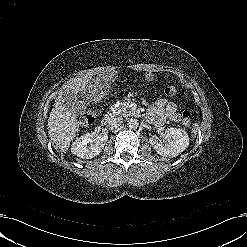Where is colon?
I'll list each match as a JSON object with an SVG mask.
<instances>
[{
    "label": "colon",
    "instance_id": "5ec220e1",
    "mask_svg": "<svg viewBox=\"0 0 247 247\" xmlns=\"http://www.w3.org/2000/svg\"><path fill=\"white\" fill-rule=\"evenodd\" d=\"M164 93L168 97H173L177 94V88L175 85L169 84L165 87ZM96 117H97V112L95 110H88L83 114L82 121L85 125L91 124L95 121ZM180 119L184 124H187V125L190 124L191 123V113L188 110H183L180 113Z\"/></svg>",
    "mask_w": 247,
    "mask_h": 247
}]
</instances>
